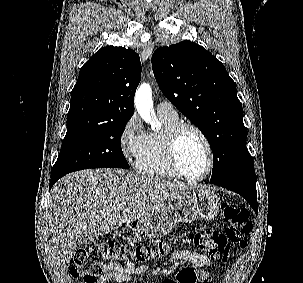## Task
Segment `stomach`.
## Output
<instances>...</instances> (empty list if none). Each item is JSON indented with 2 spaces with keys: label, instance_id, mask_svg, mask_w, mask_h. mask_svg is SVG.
<instances>
[{
  "label": "stomach",
  "instance_id": "stomach-1",
  "mask_svg": "<svg viewBox=\"0 0 303 283\" xmlns=\"http://www.w3.org/2000/svg\"><path fill=\"white\" fill-rule=\"evenodd\" d=\"M219 205V198L213 191L199 188L182 195L162 212L138 220L136 230L146 237L160 238L169 234L178 222L214 218L219 212Z\"/></svg>",
  "mask_w": 303,
  "mask_h": 283
}]
</instances>
